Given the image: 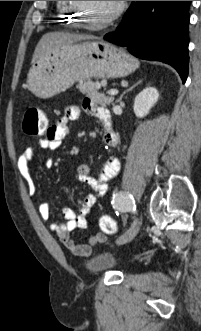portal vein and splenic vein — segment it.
Returning <instances> with one entry per match:
<instances>
[{
    "label": "portal vein and splenic vein",
    "instance_id": "1",
    "mask_svg": "<svg viewBox=\"0 0 201 331\" xmlns=\"http://www.w3.org/2000/svg\"><path fill=\"white\" fill-rule=\"evenodd\" d=\"M107 93H108L109 95L114 96V95H117V94H118V91H117L116 89H111V90H108Z\"/></svg>",
    "mask_w": 201,
    "mask_h": 331
}]
</instances>
